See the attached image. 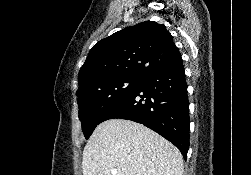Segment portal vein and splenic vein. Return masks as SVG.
I'll list each match as a JSON object with an SVG mask.
<instances>
[{
  "instance_id": "18ae733b",
  "label": "portal vein and splenic vein",
  "mask_w": 251,
  "mask_h": 175,
  "mask_svg": "<svg viewBox=\"0 0 251 175\" xmlns=\"http://www.w3.org/2000/svg\"><path fill=\"white\" fill-rule=\"evenodd\" d=\"M111 173L114 175V173H117V169H111Z\"/></svg>"
}]
</instances>
